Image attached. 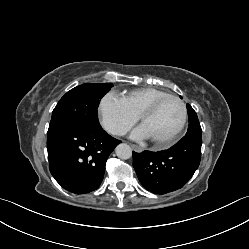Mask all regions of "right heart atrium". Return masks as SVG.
I'll return each mask as SVG.
<instances>
[{
	"instance_id": "right-heart-atrium-1",
	"label": "right heart atrium",
	"mask_w": 249,
	"mask_h": 249,
	"mask_svg": "<svg viewBox=\"0 0 249 249\" xmlns=\"http://www.w3.org/2000/svg\"><path fill=\"white\" fill-rule=\"evenodd\" d=\"M98 114L105 129L117 136L125 134L138 120V116L114 93H107L100 99Z\"/></svg>"
}]
</instances>
